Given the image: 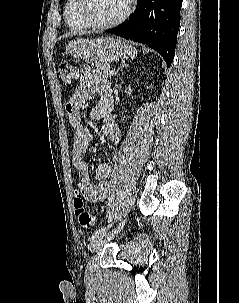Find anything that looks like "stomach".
I'll return each mask as SVG.
<instances>
[{
    "instance_id": "1",
    "label": "stomach",
    "mask_w": 239,
    "mask_h": 303,
    "mask_svg": "<svg viewBox=\"0 0 239 303\" xmlns=\"http://www.w3.org/2000/svg\"><path fill=\"white\" fill-rule=\"evenodd\" d=\"M126 46L122 40L111 37L81 38L70 42L67 51L79 60L108 63L125 56Z\"/></svg>"
}]
</instances>
